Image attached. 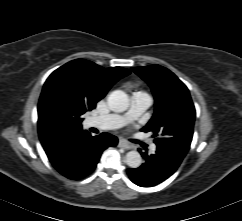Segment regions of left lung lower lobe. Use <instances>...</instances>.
Wrapping results in <instances>:
<instances>
[{
  "mask_svg": "<svg viewBox=\"0 0 242 221\" xmlns=\"http://www.w3.org/2000/svg\"><path fill=\"white\" fill-rule=\"evenodd\" d=\"M141 155L145 162L138 168L128 169L127 173L136 185L150 187L170 177L178 169L186 154L172 147L157 145L154 154L141 152Z\"/></svg>",
  "mask_w": 242,
  "mask_h": 221,
  "instance_id": "obj_1",
  "label": "left lung lower lobe"
}]
</instances>
